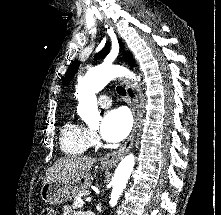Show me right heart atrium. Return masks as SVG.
I'll return each instance as SVG.
<instances>
[{
    "instance_id": "right-heart-atrium-1",
    "label": "right heart atrium",
    "mask_w": 221,
    "mask_h": 215,
    "mask_svg": "<svg viewBox=\"0 0 221 215\" xmlns=\"http://www.w3.org/2000/svg\"><path fill=\"white\" fill-rule=\"evenodd\" d=\"M97 135L94 131L88 129V141L90 146H94L97 143Z\"/></svg>"
}]
</instances>
